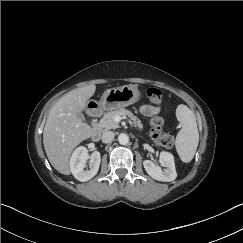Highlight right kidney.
Masks as SVG:
<instances>
[{"label":"right kidney","mask_w":243,"mask_h":243,"mask_svg":"<svg viewBox=\"0 0 243 243\" xmlns=\"http://www.w3.org/2000/svg\"><path fill=\"white\" fill-rule=\"evenodd\" d=\"M88 159H90V170H84ZM100 162V152L95 151L89 155L86 147L79 146L74 150L71 156L70 170L77 180L86 182L97 174Z\"/></svg>","instance_id":"right-kidney-1"}]
</instances>
